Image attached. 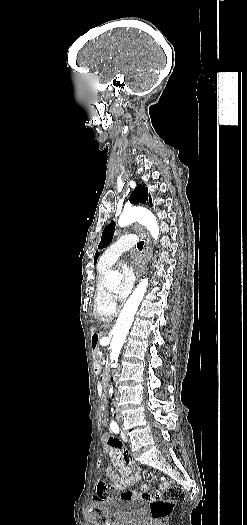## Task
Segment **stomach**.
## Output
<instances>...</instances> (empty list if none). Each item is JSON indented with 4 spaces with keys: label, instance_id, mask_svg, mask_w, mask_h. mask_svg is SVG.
Listing matches in <instances>:
<instances>
[{
    "label": "stomach",
    "instance_id": "obj_1",
    "mask_svg": "<svg viewBox=\"0 0 247 525\" xmlns=\"http://www.w3.org/2000/svg\"><path fill=\"white\" fill-rule=\"evenodd\" d=\"M97 340H98V335H97V334H94V335L92 336L93 344H96Z\"/></svg>",
    "mask_w": 247,
    "mask_h": 525
}]
</instances>
